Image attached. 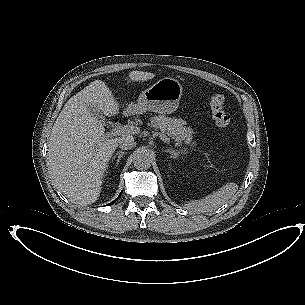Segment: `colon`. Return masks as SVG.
Segmentation results:
<instances>
[{
  "label": "colon",
  "instance_id": "1",
  "mask_svg": "<svg viewBox=\"0 0 305 305\" xmlns=\"http://www.w3.org/2000/svg\"><path fill=\"white\" fill-rule=\"evenodd\" d=\"M210 108L214 121L218 126H227L230 122V115L224 110V97L214 95L210 100Z\"/></svg>",
  "mask_w": 305,
  "mask_h": 305
}]
</instances>
